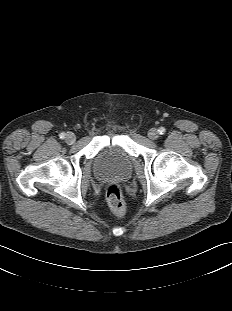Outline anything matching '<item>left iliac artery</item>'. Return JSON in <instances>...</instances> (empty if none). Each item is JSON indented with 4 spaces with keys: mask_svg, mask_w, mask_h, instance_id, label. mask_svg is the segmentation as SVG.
<instances>
[{
    "mask_svg": "<svg viewBox=\"0 0 232 311\" xmlns=\"http://www.w3.org/2000/svg\"><path fill=\"white\" fill-rule=\"evenodd\" d=\"M165 131H166V129L164 127H160L158 130L159 134H161V135L164 134Z\"/></svg>",
    "mask_w": 232,
    "mask_h": 311,
    "instance_id": "left-iliac-artery-1",
    "label": "left iliac artery"
}]
</instances>
